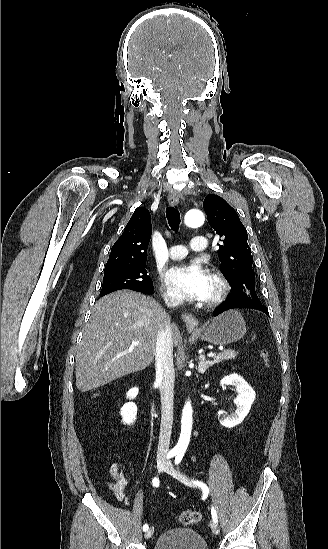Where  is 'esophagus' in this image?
I'll return each instance as SVG.
<instances>
[{
  "instance_id": "esophagus-1",
  "label": "esophagus",
  "mask_w": 328,
  "mask_h": 549,
  "mask_svg": "<svg viewBox=\"0 0 328 549\" xmlns=\"http://www.w3.org/2000/svg\"><path fill=\"white\" fill-rule=\"evenodd\" d=\"M168 202L170 206H176L179 203V198L176 192H170L168 195ZM182 319L188 330H195L198 326V319L187 312L182 314Z\"/></svg>"
}]
</instances>
